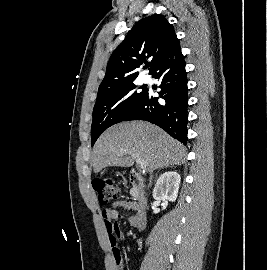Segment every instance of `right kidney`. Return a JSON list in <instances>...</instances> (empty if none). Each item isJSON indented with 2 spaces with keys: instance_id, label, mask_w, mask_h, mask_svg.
Here are the masks:
<instances>
[{
  "instance_id": "ca27d5eb",
  "label": "right kidney",
  "mask_w": 267,
  "mask_h": 270,
  "mask_svg": "<svg viewBox=\"0 0 267 270\" xmlns=\"http://www.w3.org/2000/svg\"><path fill=\"white\" fill-rule=\"evenodd\" d=\"M180 181L181 177L176 171L163 173L155 184L153 198L157 201L174 202L178 195Z\"/></svg>"
}]
</instances>
